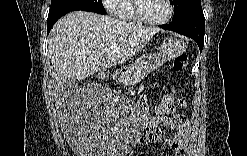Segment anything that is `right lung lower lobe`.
I'll return each mask as SVG.
<instances>
[{
	"mask_svg": "<svg viewBox=\"0 0 247 156\" xmlns=\"http://www.w3.org/2000/svg\"><path fill=\"white\" fill-rule=\"evenodd\" d=\"M70 11L68 12H63V13H59V14H56V15H53V16H48V19H47V34L50 32L52 26L55 24V22L60 18L62 17L63 15L69 13ZM90 12H96L98 14H105L106 12L105 11H101V10H93V11H90Z\"/></svg>",
	"mask_w": 247,
	"mask_h": 156,
	"instance_id": "1",
	"label": "right lung lower lobe"
}]
</instances>
